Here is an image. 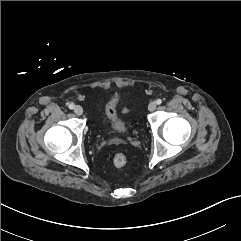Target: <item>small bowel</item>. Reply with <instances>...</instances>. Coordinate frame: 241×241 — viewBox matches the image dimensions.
<instances>
[{
    "instance_id": "small-bowel-1",
    "label": "small bowel",
    "mask_w": 241,
    "mask_h": 241,
    "mask_svg": "<svg viewBox=\"0 0 241 241\" xmlns=\"http://www.w3.org/2000/svg\"><path fill=\"white\" fill-rule=\"evenodd\" d=\"M107 115L115 116V112L114 111H110L109 109H107Z\"/></svg>"
}]
</instances>
